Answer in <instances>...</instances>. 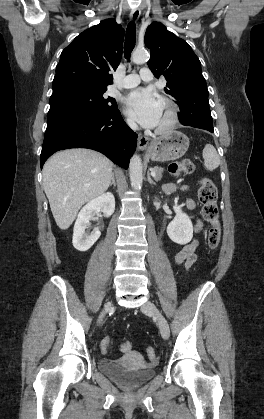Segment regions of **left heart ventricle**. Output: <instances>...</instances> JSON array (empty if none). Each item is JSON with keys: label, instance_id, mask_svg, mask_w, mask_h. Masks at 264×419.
Masks as SVG:
<instances>
[{"label": "left heart ventricle", "instance_id": "obj_1", "mask_svg": "<svg viewBox=\"0 0 264 419\" xmlns=\"http://www.w3.org/2000/svg\"><path fill=\"white\" fill-rule=\"evenodd\" d=\"M166 116V108L164 107V105L161 103V115H160V121H159V125H161L165 119Z\"/></svg>", "mask_w": 264, "mask_h": 419}]
</instances>
